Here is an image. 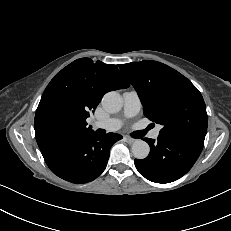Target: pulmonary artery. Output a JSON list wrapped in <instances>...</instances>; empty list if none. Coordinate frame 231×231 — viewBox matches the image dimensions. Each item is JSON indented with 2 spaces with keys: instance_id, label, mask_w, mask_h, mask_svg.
<instances>
[{
  "instance_id": "obj_1",
  "label": "pulmonary artery",
  "mask_w": 231,
  "mask_h": 231,
  "mask_svg": "<svg viewBox=\"0 0 231 231\" xmlns=\"http://www.w3.org/2000/svg\"><path fill=\"white\" fill-rule=\"evenodd\" d=\"M141 109V101L136 91H126L123 93V115L126 118L136 116ZM123 124V120L120 118H108L102 121H95L94 127L102 128L107 131H115L119 129ZM160 127H156L150 134V136L156 139L159 135Z\"/></svg>"
}]
</instances>
